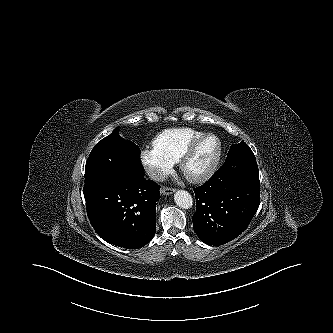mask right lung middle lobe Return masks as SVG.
Instances as JSON below:
<instances>
[{
    "label": "right lung middle lobe",
    "instance_id": "dd1d6c3e",
    "mask_svg": "<svg viewBox=\"0 0 333 333\" xmlns=\"http://www.w3.org/2000/svg\"><path fill=\"white\" fill-rule=\"evenodd\" d=\"M118 131L116 127L92 149L85 165L84 190L144 173L139 147L121 138Z\"/></svg>",
    "mask_w": 333,
    "mask_h": 333
}]
</instances>
